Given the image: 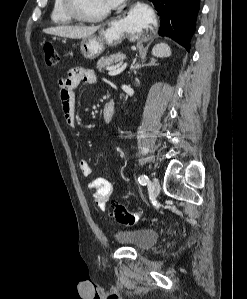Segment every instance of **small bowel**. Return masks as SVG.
Instances as JSON below:
<instances>
[{"mask_svg":"<svg viewBox=\"0 0 247 299\" xmlns=\"http://www.w3.org/2000/svg\"><path fill=\"white\" fill-rule=\"evenodd\" d=\"M97 76L92 70L88 69H69L67 75L57 80L60 90V99L62 112L66 123L72 127H76V89L81 83L94 84ZM80 171L83 176L88 177L92 173L91 166L88 161L81 160L79 163ZM89 188L94 191V201L96 206L104 210L112 195L114 183L106 178L98 177L89 183Z\"/></svg>","mask_w":247,"mask_h":299,"instance_id":"small-bowel-1","label":"small bowel"}]
</instances>
